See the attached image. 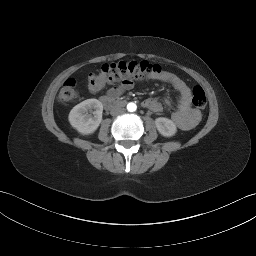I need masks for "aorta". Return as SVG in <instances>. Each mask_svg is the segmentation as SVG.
<instances>
[{
    "instance_id": "aorta-1",
    "label": "aorta",
    "mask_w": 256,
    "mask_h": 256,
    "mask_svg": "<svg viewBox=\"0 0 256 256\" xmlns=\"http://www.w3.org/2000/svg\"><path fill=\"white\" fill-rule=\"evenodd\" d=\"M136 109H137V105L135 103L130 102L127 104V110L129 112H134V111H136Z\"/></svg>"
}]
</instances>
